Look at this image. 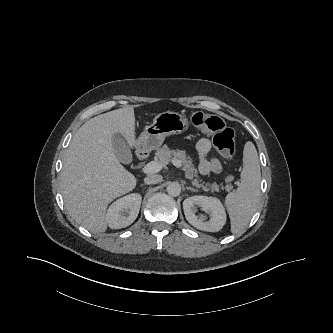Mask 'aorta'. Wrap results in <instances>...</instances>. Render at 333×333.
I'll return each instance as SVG.
<instances>
[{
	"label": "aorta",
	"instance_id": "aorta-1",
	"mask_svg": "<svg viewBox=\"0 0 333 333\" xmlns=\"http://www.w3.org/2000/svg\"><path fill=\"white\" fill-rule=\"evenodd\" d=\"M167 192L173 197L179 196L181 193V185L177 182H171L167 186Z\"/></svg>",
	"mask_w": 333,
	"mask_h": 333
}]
</instances>
